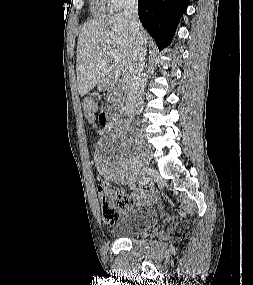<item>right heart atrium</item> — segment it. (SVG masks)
<instances>
[{
  "mask_svg": "<svg viewBox=\"0 0 253 285\" xmlns=\"http://www.w3.org/2000/svg\"><path fill=\"white\" fill-rule=\"evenodd\" d=\"M111 10H121L125 6L134 3L136 0H105Z\"/></svg>",
  "mask_w": 253,
  "mask_h": 285,
  "instance_id": "obj_1",
  "label": "right heart atrium"
}]
</instances>
